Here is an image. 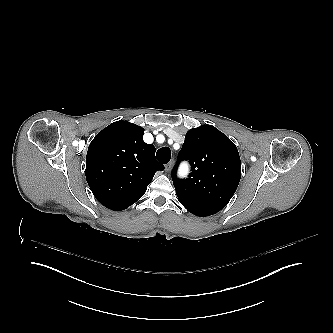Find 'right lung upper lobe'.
I'll list each match as a JSON object with an SVG mask.
<instances>
[{"label":"right lung upper lobe","instance_id":"cb5924a9","mask_svg":"<svg viewBox=\"0 0 333 333\" xmlns=\"http://www.w3.org/2000/svg\"><path fill=\"white\" fill-rule=\"evenodd\" d=\"M144 129L117 121L91 141L86 157V179L96 199L105 207L121 210L131 198L146 192L156 171L155 147L143 141Z\"/></svg>","mask_w":333,"mask_h":333}]
</instances>
